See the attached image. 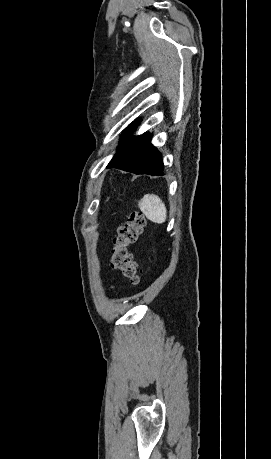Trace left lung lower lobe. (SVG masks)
I'll list each match as a JSON object with an SVG mask.
<instances>
[{
	"instance_id": "0a47b994",
	"label": "left lung lower lobe",
	"mask_w": 271,
	"mask_h": 459,
	"mask_svg": "<svg viewBox=\"0 0 271 459\" xmlns=\"http://www.w3.org/2000/svg\"><path fill=\"white\" fill-rule=\"evenodd\" d=\"M141 120H135L124 130L117 153L107 168H118L135 174L163 175L162 152L151 143L153 134L132 136Z\"/></svg>"
}]
</instances>
